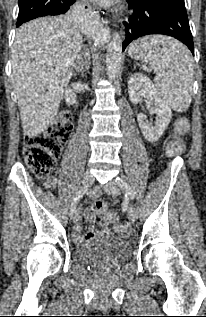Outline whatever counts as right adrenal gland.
Returning <instances> with one entry per match:
<instances>
[{
  "label": "right adrenal gland",
  "instance_id": "2a0ac1e0",
  "mask_svg": "<svg viewBox=\"0 0 206 317\" xmlns=\"http://www.w3.org/2000/svg\"><path fill=\"white\" fill-rule=\"evenodd\" d=\"M83 53L86 55V58H87V61H88V63H87V69H88L89 68V64H90L89 63L90 56H89V51H88V49L86 47H83ZM75 69H76V71H79L77 66H75Z\"/></svg>",
  "mask_w": 206,
  "mask_h": 317
}]
</instances>
